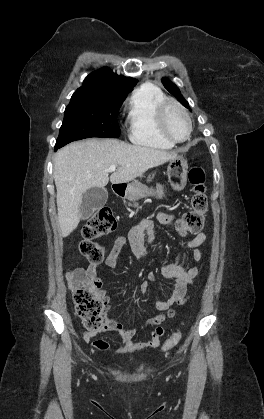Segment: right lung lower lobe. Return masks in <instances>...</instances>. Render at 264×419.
Returning a JSON list of instances; mask_svg holds the SVG:
<instances>
[{"label":"right lung lower lobe","mask_w":264,"mask_h":419,"mask_svg":"<svg viewBox=\"0 0 264 419\" xmlns=\"http://www.w3.org/2000/svg\"><path fill=\"white\" fill-rule=\"evenodd\" d=\"M58 149H59L58 147H55V151L58 150Z\"/></svg>","instance_id":"obj_1"}]
</instances>
